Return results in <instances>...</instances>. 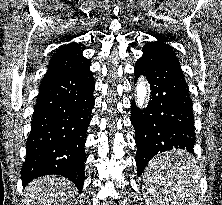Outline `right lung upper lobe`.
<instances>
[{"label":"right lung upper lobe","mask_w":222,"mask_h":205,"mask_svg":"<svg viewBox=\"0 0 222 205\" xmlns=\"http://www.w3.org/2000/svg\"><path fill=\"white\" fill-rule=\"evenodd\" d=\"M84 47L83 44L74 42L60 46L52 56L44 78L76 73L88 68L91 63L82 56Z\"/></svg>","instance_id":"cb5924a9"}]
</instances>
